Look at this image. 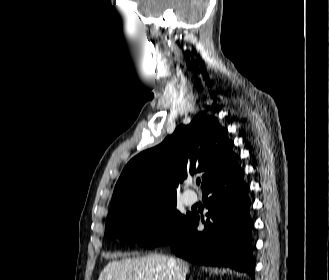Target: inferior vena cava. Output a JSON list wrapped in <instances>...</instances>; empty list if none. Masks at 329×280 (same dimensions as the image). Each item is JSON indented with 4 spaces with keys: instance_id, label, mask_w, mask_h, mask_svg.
Returning <instances> with one entry per match:
<instances>
[{
    "instance_id": "602c4592",
    "label": "inferior vena cava",
    "mask_w": 329,
    "mask_h": 280,
    "mask_svg": "<svg viewBox=\"0 0 329 280\" xmlns=\"http://www.w3.org/2000/svg\"><path fill=\"white\" fill-rule=\"evenodd\" d=\"M169 264L173 267V276L175 280H185L184 276L180 272L179 266L176 264L175 260L169 259Z\"/></svg>"
}]
</instances>
